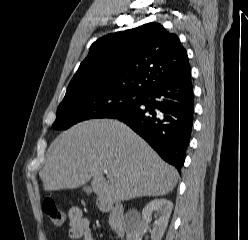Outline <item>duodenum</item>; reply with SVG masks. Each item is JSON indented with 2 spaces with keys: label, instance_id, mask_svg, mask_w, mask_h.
<instances>
[{
  "label": "duodenum",
  "instance_id": "1",
  "mask_svg": "<svg viewBox=\"0 0 248 240\" xmlns=\"http://www.w3.org/2000/svg\"><path fill=\"white\" fill-rule=\"evenodd\" d=\"M103 212H107L111 218L113 231L121 238L126 234V221L124 219V207L121 204L103 203L101 205Z\"/></svg>",
  "mask_w": 248,
  "mask_h": 240
}]
</instances>
